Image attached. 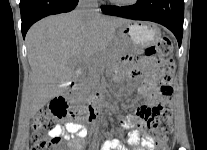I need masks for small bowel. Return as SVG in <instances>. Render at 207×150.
<instances>
[{"label": "small bowel", "mask_w": 207, "mask_h": 150, "mask_svg": "<svg viewBox=\"0 0 207 150\" xmlns=\"http://www.w3.org/2000/svg\"><path fill=\"white\" fill-rule=\"evenodd\" d=\"M154 68V59L145 58L140 62L138 68L131 67L128 71L132 78L144 76L138 91L148 102L147 105L139 107L134 114L121 117L118 120L120 127L132 129L128 135V142L134 150L153 149V144L148 142L146 138H141L140 132L145 128L150 106L159 99V91L154 79ZM49 135L65 139L68 150H84L86 145L87 131L80 123L74 120L68 121L63 125H57L49 131ZM130 145H124V140H104V145H99V150H130Z\"/></svg>", "instance_id": "obj_1"}]
</instances>
